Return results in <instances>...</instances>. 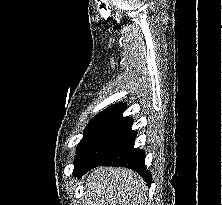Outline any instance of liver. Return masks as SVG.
Listing matches in <instances>:
<instances>
[{"instance_id": "6515ba94", "label": "liver", "mask_w": 222, "mask_h": 205, "mask_svg": "<svg viewBox=\"0 0 222 205\" xmlns=\"http://www.w3.org/2000/svg\"><path fill=\"white\" fill-rule=\"evenodd\" d=\"M147 192L138 173L121 167H97L86 178L85 204L148 205Z\"/></svg>"}]
</instances>
